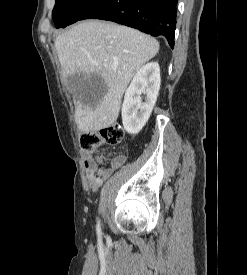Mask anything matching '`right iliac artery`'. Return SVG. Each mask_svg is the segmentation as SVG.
I'll list each match as a JSON object with an SVG mask.
<instances>
[{
  "instance_id": "1",
  "label": "right iliac artery",
  "mask_w": 247,
  "mask_h": 275,
  "mask_svg": "<svg viewBox=\"0 0 247 275\" xmlns=\"http://www.w3.org/2000/svg\"><path fill=\"white\" fill-rule=\"evenodd\" d=\"M97 233H98V235L101 234L100 222L99 221H98V224H97Z\"/></svg>"
}]
</instances>
